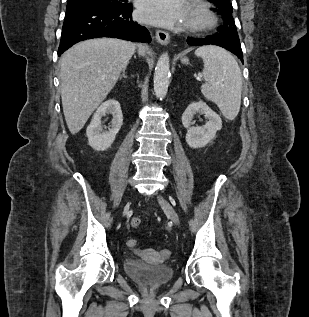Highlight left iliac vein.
I'll use <instances>...</instances> for the list:
<instances>
[{"instance_id":"left-iliac-vein-1","label":"left iliac vein","mask_w":309,"mask_h":317,"mask_svg":"<svg viewBox=\"0 0 309 317\" xmlns=\"http://www.w3.org/2000/svg\"><path fill=\"white\" fill-rule=\"evenodd\" d=\"M158 202L169 218L176 224H180V219L173 206L163 197L158 196Z\"/></svg>"}]
</instances>
